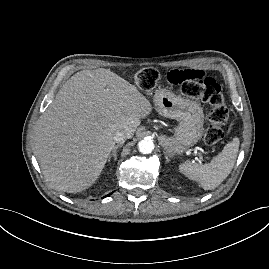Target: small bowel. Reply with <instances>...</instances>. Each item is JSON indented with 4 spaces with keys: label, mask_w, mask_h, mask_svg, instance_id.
Instances as JSON below:
<instances>
[{
    "label": "small bowel",
    "mask_w": 269,
    "mask_h": 269,
    "mask_svg": "<svg viewBox=\"0 0 269 269\" xmlns=\"http://www.w3.org/2000/svg\"><path fill=\"white\" fill-rule=\"evenodd\" d=\"M206 72L204 70H195L192 67H186L178 70H174L170 73L163 74V79L172 84H178L185 81H192L194 79L200 80L206 78Z\"/></svg>",
    "instance_id": "c3829d8e"
}]
</instances>
